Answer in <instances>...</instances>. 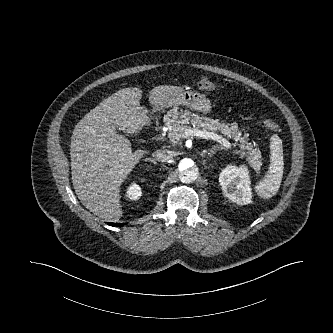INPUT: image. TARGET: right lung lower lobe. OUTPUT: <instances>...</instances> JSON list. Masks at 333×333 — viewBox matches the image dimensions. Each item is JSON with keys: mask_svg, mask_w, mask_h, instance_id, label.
Segmentation results:
<instances>
[{"mask_svg": "<svg viewBox=\"0 0 333 333\" xmlns=\"http://www.w3.org/2000/svg\"><path fill=\"white\" fill-rule=\"evenodd\" d=\"M108 225H110V226H123L124 225V223H108Z\"/></svg>", "mask_w": 333, "mask_h": 333, "instance_id": "right-lung-lower-lobe-1", "label": "right lung lower lobe"}]
</instances>
